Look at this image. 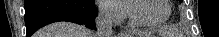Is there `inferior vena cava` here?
Masks as SVG:
<instances>
[{
    "mask_svg": "<svg viewBox=\"0 0 219 37\" xmlns=\"http://www.w3.org/2000/svg\"><path fill=\"white\" fill-rule=\"evenodd\" d=\"M113 12L112 8L103 6L99 8L98 16L95 19V25L97 28L98 37H111L113 34L112 30Z\"/></svg>",
    "mask_w": 219,
    "mask_h": 37,
    "instance_id": "obj_1",
    "label": "inferior vena cava"
}]
</instances>
